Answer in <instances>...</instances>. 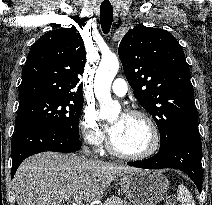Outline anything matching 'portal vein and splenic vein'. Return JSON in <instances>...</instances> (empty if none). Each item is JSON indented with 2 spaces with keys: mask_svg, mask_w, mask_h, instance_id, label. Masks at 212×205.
<instances>
[{
  "mask_svg": "<svg viewBox=\"0 0 212 205\" xmlns=\"http://www.w3.org/2000/svg\"><path fill=\"white\" fill-rule=\"evenodd\" d=\"M74 200H75V202H76L77 204H79V205H84V204H82L81 198H80L79 196H75V197H74Z\"/></svg>",
  "mask_w": 212,
  "mask_h": 205,
  "instance_id": "obj_1",
  "label": "portal vein and splenic vein"
}]
</instances>
